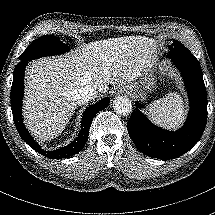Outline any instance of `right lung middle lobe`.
<instances>
[{
    "label": "right lung middle lobe",
    "mask_w": 215,
    "mask_h": 215,
    "mask_svg": "<svg viewBox=\"0 0 215 215\" xmlns=\"http://www.w3.org/2000/svg\"><path fill=\"white\" fill-rule=\"evenodd\" d=\"M69 50V47L55 36L45 35L33 41L21 54L19 60L28 62L40 57L64 54Z\"/></svg>",
    "instance_id": "right-lung-middle-lobe-1"
}]
</instances>
